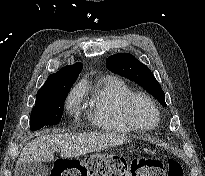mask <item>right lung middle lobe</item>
Here are the masks:
<instances>
[{"instance_id":"dd1d6c3e","label":"right lung middle lobe","mask_w":205,"mask_h":176,"mask_svg":"<svg viewBox=\"0 0 205 176\" xmlns=\"http://www.w3.org/2000/svg\"><path fill=\"white\" fill-rule=\"evenodd\" d=\"M70 87L36 97L30 116V130H39L46 125H56L63 115V107Z\"/></svg>"}]
</instances>
